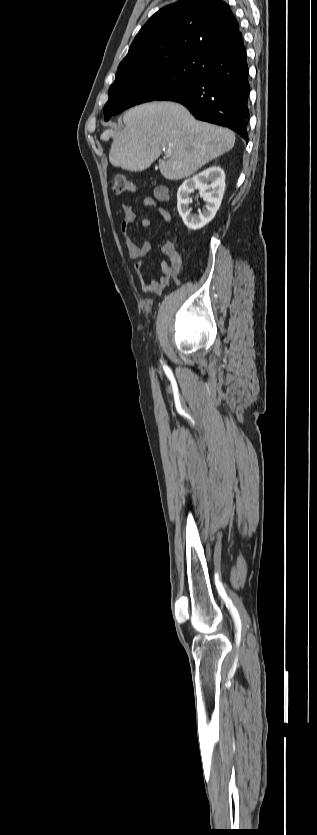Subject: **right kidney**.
<instances>
[{
  "instance_id": "obj_1",
  "label": "right kidney",
  "mask_w": 317,
  "mask_h": 835,
  "mask_svg": "<svg viewBox=\"0 0 317 835\" xmlns=\"http://www.w3.org/2000/svg\"><path fill=\"white\" fill-rule=\"evenodd\" d=\"M197 188L206 202L202 212L191 214L190 193ZM225 190V173L219 166H211L185 180L177 192V208L184 224L191 230H198L208 224L219 209Z\"/></svg>"
}]
</instances>
